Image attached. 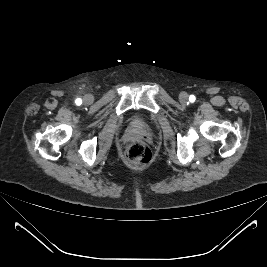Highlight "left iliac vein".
Listing matches in <instances>:
<instances>
[{"label":"left iliac vein","mask_w":267,"mask_h":267,"mask_svg":"<svg viewBox=\"0 0 267 267\" xmlns=\"http://www.w3.org/2000/svg\"><path fill=\"white\" fill-rule=\"evenodd\" d=\"M179 100L182 104H186L188 102V94L186 92H181L179 95Z\"/></svg>","instance_id":"1"}]
</instances>
